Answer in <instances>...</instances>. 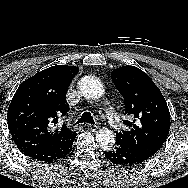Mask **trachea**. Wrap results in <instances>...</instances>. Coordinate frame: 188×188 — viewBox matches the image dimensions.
I'll list each match as a JSON object with an SVG mask.
<instances>
[{"label":"trachea","instance_id":"trachea-1","mask_svg":"<svg viewBox=\"0 0 188 188\" xmlns=\"http://www.w3.org/2000/svg\"><path fill=\"white\" fill-rule=\"evenodd\" d=\"M83 122L92 123V124L94 123L90 112H84L81 119L76 124L83 123Z\"/></svg>","mask_w":188,"mask_h":188}]
</instances>
